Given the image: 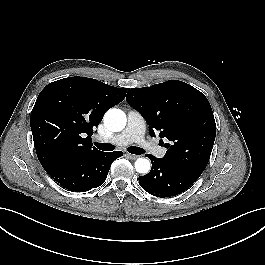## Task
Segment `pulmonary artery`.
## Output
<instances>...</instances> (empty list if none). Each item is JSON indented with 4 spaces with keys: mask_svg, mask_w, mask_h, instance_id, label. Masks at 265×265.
I'll use <instances>...</instances> for the list:
<instances>
[{
    "mask_svg": "<svg viewBox=\"0 0 265 265\" xmlns=\"http://www.w3.org/2000/svg\"><path fill=\"white\" fill-rule=\"evenodd\" d=\"M145 129L146 126L142 116L134 110H129L127 113V126L125 130L119 135L114 136L110 142L120 146L138 142L148 147L157 157L162 158L166 153L165 149L151 142H146L144 140ZM98 140L105 141L102 138H98Z\"/></svg>",
    "mask_w": 265,
    "mask_h": 265,
    "instance_id": "obj_1",
    "label": "pulmonary artery"
}]
</instances>
